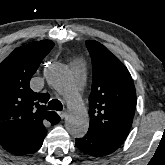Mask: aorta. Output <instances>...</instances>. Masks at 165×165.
<instances>
[{
    "label": "aorta",
    "instance_id": "762f6f07",
    "mask_svg": "<svg viewBox=\"0 0 165 165\" xmlns=\"http://www.w3.org/2000/svg\"><path fill=\"white\" fill-rule=\"evenodd\" d=\"M45 78L64 95L67 101L69 108V114L65 120L67 131L74 137H83L89 128V117L79 96L72 91L69 85L66 68L60 64H51L46 68Z\"/></svg>",
    "mask_w": 165,
    "mask_h": 165
}]
</instances>
